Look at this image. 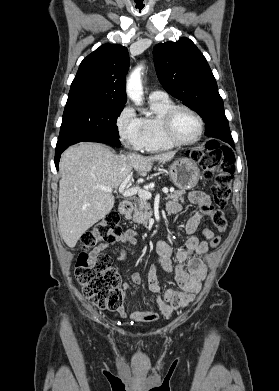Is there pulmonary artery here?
<instances>
[{"label": "pulmonary artery", "instance_id": "1", "mask_svg": "<svg viewBox=\"0 0 279 391\" xmlns=\"http://www.w3.org/2000/svg\"><path fill=\"white\" fill-rule=\"evenodd\" d=\"M165 97H168L167 94L161 90H154L149 95L150 99H160Z\"/></svg>", "mask_w": 279, "mask_h": 391}]
</instances>
